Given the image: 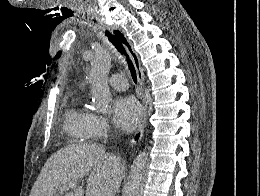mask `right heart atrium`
Segmentation results:
<instances>
[{"label": "right heart atrium", "instance_id": "d8ad5b80", "mask_svg": "<svg viewBox=\"0 0 260 196\" xmlns=\"http://www.w3.org/2000/svg\"><path fill=\"white\" fill-rule=\"evenodd\" d=\"M90 126H91L92 129H96V130H107V129H109L107 119L105 117L97 115V114H92ZM69 191L70 192H81V190H69Z\"/></svg>", "mask_w": 260, "mask_h": 196}]
</instances>
